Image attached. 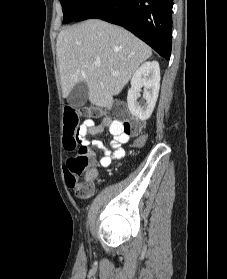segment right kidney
I'll list each match as a JSON object with an SVG mask.
<instances>
[{
  "label": "right kidney",
  "mask_w": 227,
  "mask_h": 279,
  "mask_svg": "<svg viewBox=\"0 0 227 279\" xmlns=\"http://www.w3.org/2000/svg\"><path fill=\"white\" fill-rule=\"evenodd\" d=\"M142 87L147 90L144 93L146 103L143 106L137 102ZM159 88L160 68L158 62L143 63L135 71L131 79V88L128 90L127 103L131 114L141 120L150 118L158 98Z\"/></svg>",
  "instance_id": "right-kidney-1"
}]
</instances>
